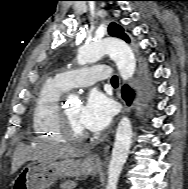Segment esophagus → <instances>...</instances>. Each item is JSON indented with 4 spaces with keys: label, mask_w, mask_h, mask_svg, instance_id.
<instances>
[{
    "label": "esophagus",
    "mask_w": 188,
    "mask_h": 189,
    "mask_svg": "<svg viewBox=\"0 0 188 189\" xmlns=\"http://www.w3.org/2000/svg\"><path fill=\"white\" fill-rule=\"evenodd\" d=\"M95 159L99 160V157H97L96 155L94 156Z\"/></svg>",
    "instance_id": "1"
}]
</instances>
